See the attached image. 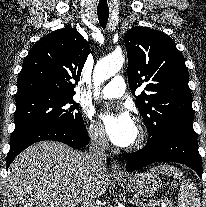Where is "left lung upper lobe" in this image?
Segmentation results:
<instances>
[{"mask_svg": "<svg viewBox=\"0 0 206 207\" xmlns=\"http://www.w3.org/2000/svg\"><path fill=\"white\" fill-rule=\"evenodd\" d=\"M128 82L152 145L172 129L193 126L192 94L184 57L172 39L157 30L136 26L125 35Z\"/></svg>", "mask_w": 206, "mask_h": 207, "instance_id": "left-lung-upper-lobe-1", "label": "left lung upper lobe"}]
</instances>
